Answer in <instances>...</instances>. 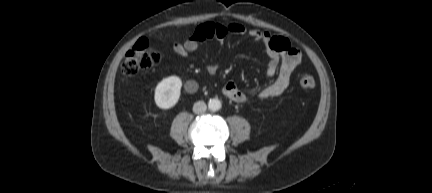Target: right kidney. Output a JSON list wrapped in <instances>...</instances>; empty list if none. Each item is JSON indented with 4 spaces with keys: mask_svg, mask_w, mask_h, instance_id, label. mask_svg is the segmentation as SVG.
I'll return each mask as SVG.
<instances>
[{
    "mask_svg": "<svg viewBox=\"0 0 432 193\" xmlns=\"http://www.w3.org/2000/svg\"><path fill=\"white\" fill-rule=\"evenodd\" d=\"M182 81L178 76H169L159 82L155 88L154 100L160 109L174 107L181 94Z\"/></svg>",
    "mask_w": 432,
    "mask_h": 193,
    "instance_id": "ca27d5eb",
    "label": "right kidney"
}]
</instances>
